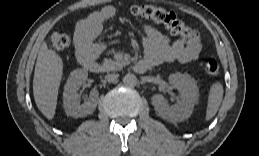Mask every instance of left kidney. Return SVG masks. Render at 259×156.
I'll use <instances>...</instances> for the list:
<instances>
[{"mask_svg":"<svg viewBox=\"0 0 259 156\" xmlns=\"http://www.w3.org/2000/svg\"><path fill=\"white\" fill-rule=\"evenodd\" d=\"M169 82L173 88L180 92L181 100L173 106H169L161 94L152 97V104L158 115L171 122H180L188 119L198 102L199 91L195 79L189 75L175 73L169 76Z\"/></svg>","mask_w":259,"mask_h":156,"instance_id":"obj_1","label":"left kidney"}]
</instances>
